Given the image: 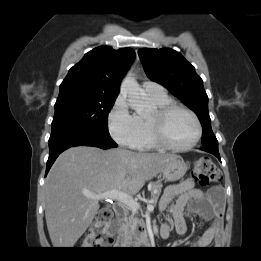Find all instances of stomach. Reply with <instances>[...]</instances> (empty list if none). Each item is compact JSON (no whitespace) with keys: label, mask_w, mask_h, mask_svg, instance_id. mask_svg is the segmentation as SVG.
Listing matches in <instances>:
<instances>
[{"label":"stomach","mask_w":261,"mask_h":261,"mask_svg":"<svg viewBox=\"0 0 261 261\" xmlns=\"http://www.w3.org/2000/svg\"><path fill=\"white\" fill-rule=\"evenodd\" d=\"M187 169L183 158L176 156L165 165L160 175L167 182H175L185 175Z\"/></svg>","instance_id":"obj_1"}]
</instances>
